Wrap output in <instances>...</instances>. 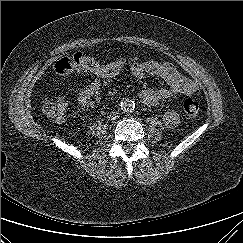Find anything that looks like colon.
Returning <instances> with one entry per match:
<instances>
[{
	"mask_svg": "<svg viewBox=\"0 0 243 243\" xmlns=\"http://www.w3.org/2000/svg\"><path fill=\"white\" fill-rule=\"evenodd\" d=\"M125 61L119 59L112 63L100 64L92 57L82 53H75L59 59L54 66L55 72L60 75H69L77 72H85L100 78L111 79L117 76L123 69ZM68 108L67 100L62 96L46 97L43 100V111L50 119L61 122L65 119ZM183 109L190 118H195L200 111L199 103L188 98L183 103Z\"/></svg>",
	"mask_w": 243,
	"mask_h": 243,
	"instance_id": "5ec220e1",
	"label": "colon"
}]
</instances>
